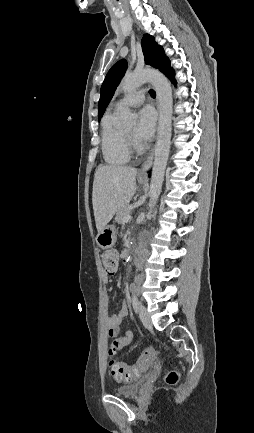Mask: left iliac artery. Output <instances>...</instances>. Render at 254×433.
Listing matches in <instances>:
<instances>
[{"mask_svg":"<svg viewBox=\"0 0 254 433\" xmlns=\"http://www.w3.org/2000/svg\"><path fill=\"white\" fill-rule=\"evenodd\" d=\"M132 305H133L135 312L137 313L139 310V302H138V298H137L136 294L132 295Z\"/></svg>","mask_w":254,"mask_h":433,"instance_id":"obj_1","label":"left iliac artery"}]
</instances>
